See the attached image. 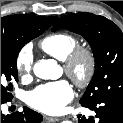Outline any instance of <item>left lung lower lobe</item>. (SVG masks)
I'll return each mask as SVG.
<instances>
[{
	"instance_id": "1",
	"label": "left lung lower lobe",
	"mask_w": 123,
	"mask_h": 123,
	"mask_svg": "<svg viewBox=\"0 0 123 123\" xmlns=\"http://www.w3.org/2000/svg\"><path fill=\"white\" fill-rule=\"evenodd\" d=\"M83 107L96 112V119L78 115V123H123V95L104 97L93 103H82Z\"/></svg>"
}]
</instances>
